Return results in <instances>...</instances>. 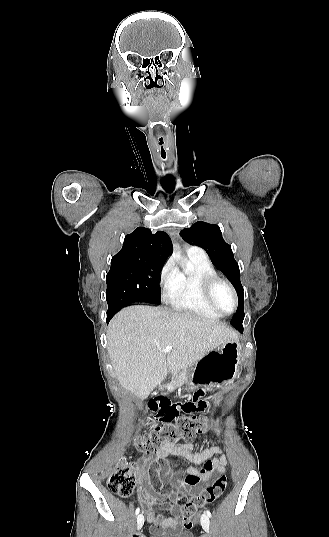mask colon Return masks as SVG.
Masks as SVG:
<instances>
[{"label": "colon", "mask_w": 329, "mask_h": 537, "mask_svg": "<svg viewBox=\"0 0 329 537\" xmlns=\"http://www.w3.org/2000/svg\"><path fill=\"white\" fill-rule=\"evenodd\" d=\"M195 395V394H194ZM170 403L165 399V403ZM157 410H155L156 418ZM179 415V413H178ZM178 417V416H177ZM176 417V418H177ZM208 420L192 416L190 418L179 419L175 424H162L149 433L137 434L134 439V447L141 453H154L164 443H175L183 438L192 441L197 435L206 432ZM107 487L110 491L122 497H128L133 492L137 484V475L131 463L123 461L107 478ZM227 477H218L209 487L193 495L184 506L181 507L182 526L184 529L192 531L194 526L193 518L196 512L203 506L212 503L219 498L227 487Z\"/></svg>", "instance_id": "1"}]
</instances>
